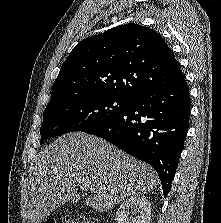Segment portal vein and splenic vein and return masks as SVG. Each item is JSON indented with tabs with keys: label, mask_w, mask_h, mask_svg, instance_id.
Masks as SVG:
<instances>
[{
	"label": "portal vein and splenic vein",
	"mask_w": 221,
	"mask_h": 223,
	"mask_svg": "<svg viewBox=\"0 0 221 223\" xmlns=\"http://www.w3.org/2000/svg\"><path fill=\"white\" fill-rule=\"evenodd\" d=\"M80 188H81L82 190H87L89 187H88V185H87L86 183L82 182V183L80 184Z\"/></svg>",
	"instance_id": "obj_1"
}]
</instances>
